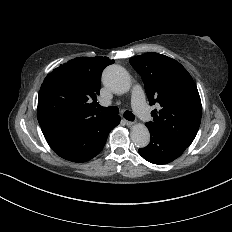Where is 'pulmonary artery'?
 Masks as SVG:
<instances>
[{"mask_svg":"<svg viewBox=\"0 0 232 232\" xmlns=\"http://www.w3.org/2000/svg\"><path fill=\"white\" fill-rule=\"evenodd\" d=\"M131 88H132L131 96L133 100V104H132L133 109H135L138 115L142 116L146 120V122L148 123L153 122L154 120L153 114L151 113L150 110H148L147 106L143 105L144 96L139 92V88H140L139 82L137 81L132 82ZM119 101L123 102L124 98L120 97ZM116 102H117L116 98H109L108 100H104L103 103H101V105H110L111 103H116Z\"/></svg>","mask_w":232,"mask_h":232,"instance_id":"pulmonary-artery-1","label":"pulmonary artery"}]
</instances>
